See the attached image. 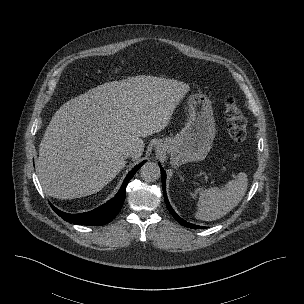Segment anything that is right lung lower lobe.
<instances>
[{
    "label": "right lung lower lobe",
    "instance_id": "98d812e1",
    "mask_svg": "<svg viewBox=\"0 0 304 304\" xmlns=\"http://www.w3.org/2000/svg\"><path fill=\"white\" fill-rule=\"evenodd\" d=\"M144 164L134 167L124 179L118 194L102 206L85 213L67 214L51 205L53 210L65 221L79 225H104L111 222L121 210L126 194V186L138 169Z\"/></svg>",
    "mask_w": 304,
    "mask_h": 304
}]
</instances>
